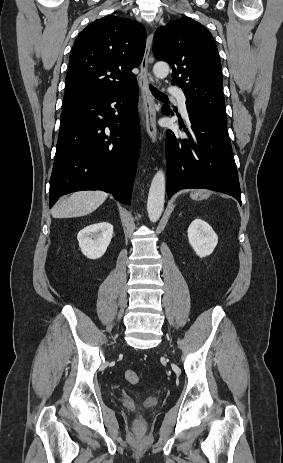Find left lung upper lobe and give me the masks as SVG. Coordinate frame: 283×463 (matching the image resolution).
Returning <instances> with one entry per match:
<instances>
[{
    "label": "left lung upper lobe",
    "mask_w": 283,
    "mask_h": 463,
    "mask_svg": "<svg viewBox=\"0 0 283 463\" xmlns=\"http://www.w3.org/2000/svg\"><path fill=\"white\" fill-rule=\"evenodd\" d=\"M153 53L172 67V84L183 90L187 106L227 123L218 50L202 24L182 17L158 28Z\"/></svg>",
    "instance_id": "left-lung-upper-lobe-1"
}]
</instances>
